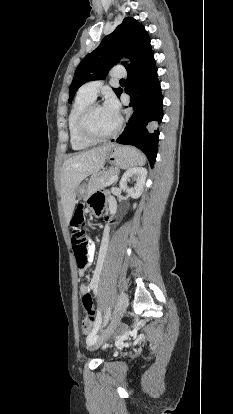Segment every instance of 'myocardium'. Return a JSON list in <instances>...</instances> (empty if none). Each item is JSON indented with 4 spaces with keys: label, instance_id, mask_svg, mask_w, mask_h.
I'll list each match as a JSON object with an SVG mask.
<instances>
[{
    "label": "myocardium",
    "instance_id": "1",
    "mask_svg": "<svg viewBox=\"0 0 233 414\" xmlns=\"http://www.w3.org/2000/svg\"><path fill=\"white\" fill-rule=\"evenodd\" d=\"M101 106L102 105L99 102L92 101L81 111L78 117L77 131H78V134L86 141L96 143V142H103V141L109 140L113 138L114 136H116L122 127V118L118 116L117 124L110 133L106 135H102V136L92 133L88 127V119L91 113L93 112V110Z\"/></svg>",
    "mask_w": 233,
    "mask_h": 414
}]
</instances>
